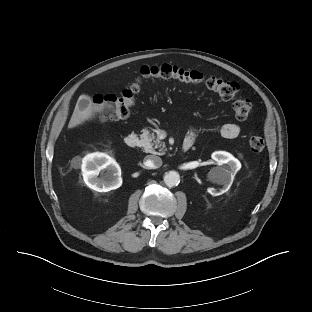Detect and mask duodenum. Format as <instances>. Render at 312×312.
Segmentation results:
<instances>
[{
    "mask_svg": "<svg viewBox=\"0 0 312 312\" xmlns=\"http://www.w3.org/2000/svg\"><path fill=\"white\" fill-rule=\"evenodd\" d=\"M124 143L127 147L129 148H134L139 144V137L134 134H128L125 138H124ZM192 146V143L189 141H184L182 146H181V151L182 152H187Z\"/></svg>",
    "mask_w": 312,
    "mask_h": 312,
    "instance_id": "obj_1",
    "label": "duodenum"
}]
</instances>
